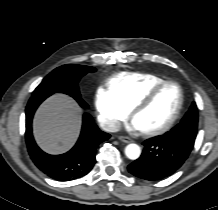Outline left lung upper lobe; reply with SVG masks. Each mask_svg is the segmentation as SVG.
Masks as SVG:
<instances>
[{
	"label": "left lung upper lobe",
	"mask_w": 218,
	"mask_h": 210,
	"mask_svg": "<svg viewBox=\"0 0 218 210\" xmlns=\"http://www.w3.org/2000/svg\"><path fill=\"white\" fill-rule=\"evenodd\" d=\"M197 123H198V109L196 103L193 102L189 111L186 113L182 121L174 127L170 132H167V136H174L176 133H181L178 131L182 127H187V130H190L193 134V138L195 139L197 134Z\"/></svg>",
	"instance_id": "1"
}]
</instances>
